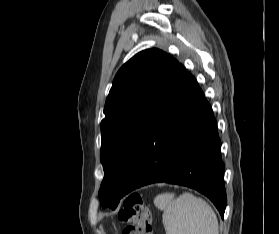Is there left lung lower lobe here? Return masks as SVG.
I'll use <instances>...</instances> for the list:
<instances>
[{
  "instance_id": "left-lung-lower-lobe-1",
  "label": "left lung lower lobe",
  "mask_w": 279,
  "mask_h": 234,
  "mask_svg": "<svg viewBox=\"0 0 279 234\" xmlns=\"http://www.w3.org/2000/svg\"><path fill=\"white\" fill-rule=\"evenodd\" d=\"M221 142L210 104L179 64L148 126L121 196L166 182L206 195L221 217L226 208Z\"/></svg>"
}]
</instances>
